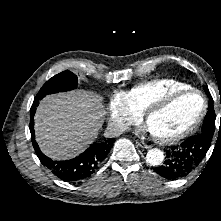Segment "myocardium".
<instances>
[{
  "mask_svg": "<svg viewBox=\"0 0 221 221\" xmlns=\"http://www.w3.org/2000/svg\"><path fill=\"white\" fill-rule=\"evenodd\" d=\"M191 93L199 95L202 99V107H201L198 115L184 129H182L181 131H179L178 133H175L173 135L163 136V135H158V134L151 132V135L155 141L162 143V144H173V143L179 142L180 140L184 139L189 134H191L197 128V126L201 123V121L203 120V118L206 115L207 108H208L207 99L201 91H199L198 89L189 87L186 89H181V90L169 92L166 95L160 97L159 99L153 101L145 109V111L142 113V119L145 122V124H147L148 119L152 115L165 109L170 104H172L174 101H176L178 98H180L184 95H187V94H191Z\"/></svg>",
  "mask_w": 221,
  "mask_h": 221,
  "instance_id": "obj_1",
  "label": "myocardium"
}]
</instances>
